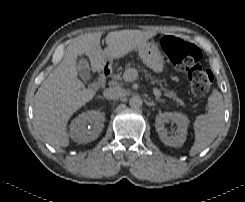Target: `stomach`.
<instances>
[{
	"instance_id": "stomach-1",
	"label": "stomach",
	"mask_w": 245,
	"mask_h": 202,
	"mask_svg": "<svg viewBox=\"0 0 245 202\" xmlns=\"http://www.w3.org/2000/svg\"><path fill=\"white\" fill-rule=\"evenodd\" d=\"M142 62L155 73H162L164 70V58L158 45L151 41L145 42L136 48Z\"/></svg>"
}]
</instances>
